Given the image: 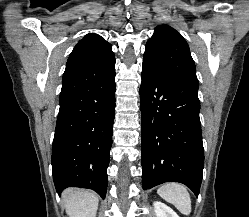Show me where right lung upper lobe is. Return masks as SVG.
Listing matches in <instances>:
<instances>
[{"label": "right lung upper lobe", "mask_w": 249, "mask_h": 217, "mask_svg": "<svg viewBox=\"0 0 249 217\" xmlns=\"http://www.w3.org/2000/svg\"><path fill=\"white\" fill-rule=\"evenodd\" d=\"M111 56L114 54L110 43L98 34L89 33L71 52L66 68L99 64Z\"/></svg>", "instance_id": "obj_1"}]
</instances>
